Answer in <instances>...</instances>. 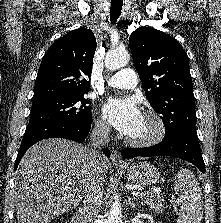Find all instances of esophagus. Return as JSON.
<instances>
[{"instance_id": "obj_1", "label": "esophagus", "mask_w": 221, "mask_h": 223, "mask_svg": "<svg viewBox=\"0 0 221 223\" xmlns=\"http://www.w3.org/2000/svg\"><path fill=\"white\" fill-rule=\"evenodd\" d=\"M110 158H111V162L114 164H123L124 163L122 156L117 149L112 150Z\"/></svg>"}]
</instances>
